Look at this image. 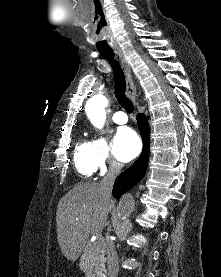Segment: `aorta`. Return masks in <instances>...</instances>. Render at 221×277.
Wrapping results in <instances>:
<instances>
[{
  "label": "aorta",
  "instance_id": "aorta-1",
  "mask_svg": "<svg viewBox=\"0 0 221 277\" xmlns=\"http://www.w3.org/2000/svg\"><path fill=\"white\" fill-rule=\"evenodd\" d=\"M108 105V101L104 96H95L86 106V112L91 123L101 129L106 120V112L104 108ZM135 201L130 193L125 194L118 203L119 215L122 219L128 217L134 209Z\"/></svg>",
  "mask_w": 221,
  "mask_h": 277
}]
</instances>
